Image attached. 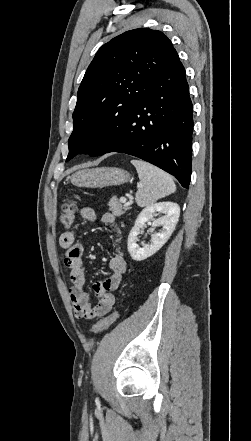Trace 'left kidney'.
Wrapping results in <instances>:
<instances>
[{"instance_id":"5707ae66","label":"left kidney","mask_w":251,"mask_h":441,"mask_svg":"<svg viewBox=\"0 0 251 441\" xmlns=\"http://www.w3.org/2000/svg\"><path fill=\"white\" fill-rule=\"evenodd\" d=\"M156 213L165 214L163 217L155 220L153 217ZM180 216V207L173 202H160L146 206L138 215L134 227L128 236V252L135 261H142L155 254L168 241L171 234L175 230L176 224ZM148 222L154 229L162 227L158 233L151 235V243L144 245L142 248L138 246L137 237L145 223Z\"/></svg>"}]
</instances>
